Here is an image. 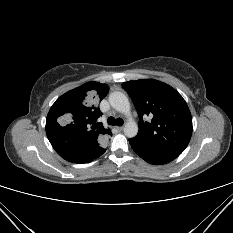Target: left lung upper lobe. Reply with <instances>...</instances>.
Instances as JSON below:
<instances>
[{"instance_id": "obj_1", "label": "left lung upper lobe", "mask_w": 233, "mask_h": 233, "mask_svg": "<svg viewBox=\"0 0 233 233\" xmlns=\"http://www.w3.org/2000/svg\"><path fill=\"white\" fill-rule=\"evenodd\" d=\"M122 87L140 118L134 139L156 150L181 154L192 134V117L183 97L168 84L154 79L129 81ZM146 115L152 120L144 121Z\"/></svg>"}]
</instances>
